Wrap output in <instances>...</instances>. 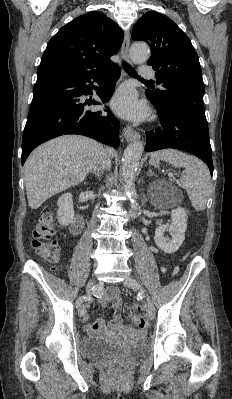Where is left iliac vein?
Here are the masks:
<instances>
[{
	"label": "left iliac vein",
	"mask_w": 232,
	"mask_h": 399,
	"mask_svg": "<svg viewBox=\"0 0 232 399\" xmlns=\"http://www.w3.org/2000/svg\"><path fill=\"white\" fill-rule=\"evenodd\" d=\"M123 285L128 286V288L130 289H134V291H137V289L143 287V284L139 283L138 281H135V278H126L125 283H123ZM146 302L149 304L147 306V315L149 316L150 319H153L155 316V310L154 306L152 305L153 301L151 300L150 296L146 297Z\"/></svg>",
	"instance_id": "1"
}]
</instances>
